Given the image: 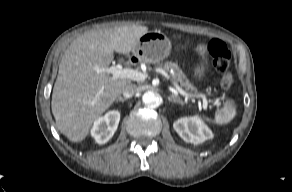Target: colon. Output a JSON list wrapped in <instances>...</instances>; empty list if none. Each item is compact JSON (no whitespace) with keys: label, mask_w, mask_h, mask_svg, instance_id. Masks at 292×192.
I'll list each match as a JSON object with an SVG mask.
<instances>
[{"label":"colon","mask_w":292,"mask_h":192,"mask_svg":"<svg viewBox=\"0 0 292 192\" xmlns=\"http://www.w3.org/2000/svg\"><path fill=\"white\" fill-rule=\"evenodd\" d=\"M209 52L213 58L215 69L222 73L221 87L224 90H229L233 85V78L229 72L232 64V54L227 45L219 40L213 39L208 45Z\"/></svg>","instance_id":"5ec220e1"}]
</instances>
